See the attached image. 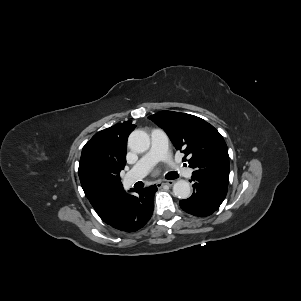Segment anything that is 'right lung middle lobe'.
Returning a JSON list of instances; mask_svg holds the SVG:
<instances>
[{
	"instance_id": "1",
	"label": "right lung middle lobe",
	"mask_w": 301,
	"mask_h": 301,
	"mask_svg": "<svg viewBox=\"0 0 301 301\" xmlns=\"http://www.w3.org/2000/svg\"><path fill=\"white\" fill-rule=\"evenodd\" d=\"M121 185L119 172H112L107 169L94 168L84 178L82 184L93 195L107 197L112 195Z\"/></svg>"
}]
</instances>
